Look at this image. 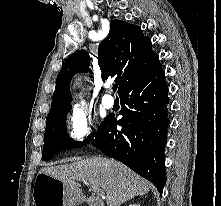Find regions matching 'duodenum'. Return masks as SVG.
Returning a JSON list of instances; mask_svg holds the SVG:
<instances>
[{
    "mask_svg": "<svg viewBox=\"0 0 221 206\" xmlns=\"http://www.w3.org/2000/svg\"><path fill=\"white\" fill-rule=\"evenodd\" d=\"M87 206H104V204L95 196H88L86 200Z\"/></svg>",
    "mask_w": 221,
    "mask_h": 206,
    "instance_id": "obj_1",
    "label": "duodenum"
}]
</instances>
